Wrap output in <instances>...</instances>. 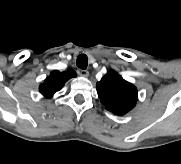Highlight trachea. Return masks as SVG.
I'll list each match as a JSON object with an SVG mask.
<instances>
[{
	"label": "trachea",
	"instance_id": "3493384b",
	"mask_svg": "<svg viewBox=\"0 0 181 164\" xmlns=\"http://www.w3.org/2000/svg\"><path fill=\"white\" fill-rule=\"evenodd\" d=\"M76 65L85 70L87 68V65H88V58L85 54H80L78 57H77V60H76Z\"/></svg>",
	"mask_w": 181,
	"mask_h": 164
}]
</instances>
